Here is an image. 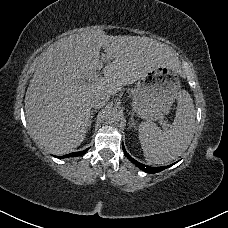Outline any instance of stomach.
Here are the masks:
<instances>
[{
  "label": "stomach",
  "instance_id": "obj_1",
  "mask_svg": "<svg viewBox=\"0 0 228 228\" xmlns=\"http://www.w3.org/2000/svg\"><path fill=\"white\" fill-rule=\"evenodd\" d=\"M180 90L179 74L167 67L151 70L136 81L131 102L133 112L146 121L167 115Z\"/></svg>",
  "mask_w": 228,
  "mask_h": 228
}]
</instances>
